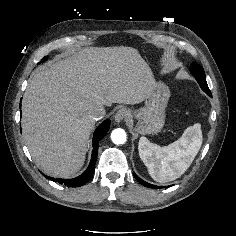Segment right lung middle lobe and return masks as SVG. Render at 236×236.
<instances>
[{
	"label": "right lung middle lobe",
	"instance_id": "1",
	"mask_svg": "<svg viewBox=\"0 0 236 236\" xmlns=\"http://www.w3.org/2000/svg\"><path fill=\"white\" fill-rule=\"evenodd\" d=\"M47 57H44L42 61H45Z\"/></svg>",
	"mask_w": 236,
	"mask_h": 236
}]
</instances>
